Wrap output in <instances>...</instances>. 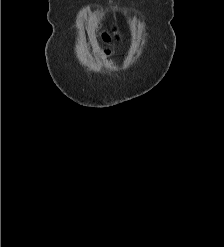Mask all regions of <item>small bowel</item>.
Here are the masks:
<instances>
[{
  "mask_svg": "<svg viewBox=\"0 0 224 247\" xmlns=\"http://www.w3.org/2000/svg\"><path fill=\"white\" fill-rule=\"evenodd\" d=\"M106 55H110V52H109V51H107V52H106Z\"/></svg>",
  "mask_w": 224,
  "mask_h": 247,
  "instance_id": "c3829d8e",
  "label": "small bowel"
}]
</instances>
